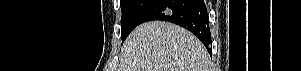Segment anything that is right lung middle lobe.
Listing matches in <instances>:
<instances>
[{
    "instance_id": "dd1d6c3e",
    "label": "right lung middle lobe",
    "mask_w": 301,
    "mask_h": 71,
    "mask_svg": "<svg viewBox=\"0 0 301 71\" xmlns=\"http://www.w3.org/2000/svg\"><path fill=\"white\" fill-rule=\"evenodd\" d=\"M156 0H120L122 11L121 38L124 41L140 24L144 13Z\"/></svg>"
}]
</instances>
